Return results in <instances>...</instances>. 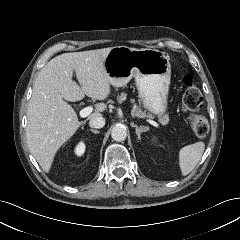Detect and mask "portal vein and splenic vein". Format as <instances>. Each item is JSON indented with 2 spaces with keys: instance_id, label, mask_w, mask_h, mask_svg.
I'll list each match as a JSON object with an SVG mask.
<instances>
[{
  "instance_id": "1",
  "label": "portal vein and splenic vein",
  "mask_w": 240,
  "mask_h": 240,
  "mask_svg": "<svg viewBox=\"0 0 240 240\" xmlns=\"http://www.w3.org/2000/svg\"><path fill=\"white\" fill-rule=\"evenodd\" d=\"M93 111L92 107H85L82 110H80L79 114L81 118H85L87 116H89L91 114V112ZM151 125H153L154 127L159 128V124L151 119L147 120Z\"/></svg>"
}]
</instances>
